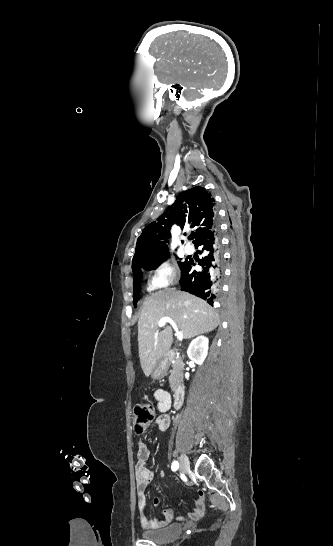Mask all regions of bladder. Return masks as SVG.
I'll return each mask as SVG.
<instances>
[{"label":"bladder","instance_id":"31cf9c89","mask_svg":"<svg viewBox=\"0 0 333 546\" xmlns=\"http://www.w3.org/2000/svg\"><path fill=\"white\" fill-rule=\"evenodd\" d=\"M182 530L181 524L171 523L162 528L143 530L141 536L143 539L155 543H167L176 539Z\"/></svg>","mask_w":333,"mask_h":546}]
</instances>
